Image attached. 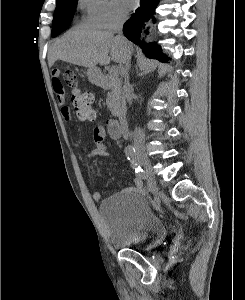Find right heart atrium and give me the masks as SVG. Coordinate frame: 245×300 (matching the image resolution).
Wrapping results in <instances>:
<instances>
[{
  "label": "right heart atrium",
  "mask_w": 245,
  "mask_h": 300,
  "mask_svg": "<svg viewBox=\"0 0 245 300\" xmlns=\"http://www.w3.org/2000/svg\"><path fill=\"white\" fill-rule=\"evenodd\" d=\"M84 21L98 29H108L127 17L121 0H80Z\"/></svg>",
  "instance_id": "right-heart-atrium-1"
}]
</instances>
